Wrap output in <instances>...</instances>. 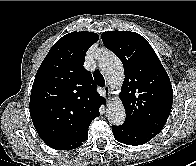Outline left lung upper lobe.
Instances as JSON below:
<instances>
[{"label":"left lung upper lobe","mask_w":196,"mask_h":166,"mask_svg":"<svg viewBox=\"0 0 196 166\" xmlns=\"http://www.w3.org/2000/svg\"><path fill=\"white\" fill-rule=\"evenodd\" d=\"M101 38L124 66L120 93L126 111L124 124L157 135L173 102L171 82L159 58L147 40L135 32L109 31Z\"/></svg>","instance_id":"obj_1"}]
</instances>
